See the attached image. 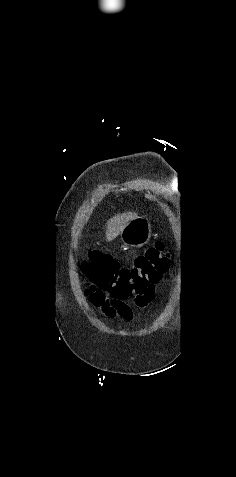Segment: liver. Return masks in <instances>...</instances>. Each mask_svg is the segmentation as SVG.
<instances>
[{
	"label": "liver",
	"mask_w": 236,
	"mask_h": 477,
	"mask_svg": "<svg viewBox=\"0 0 236 477\" xmlns=\"http://www.w3.org/2000/svg\"><path fill=\"white\" fill-rule=\"evenodd\" d=\"M136 217L137 214L132 212L117 214L113 216L107 222L106 240L111 241L115 239L123 231L125 226Z\"/></svg>",
	"instance_id": "1"
}]
</instances>
